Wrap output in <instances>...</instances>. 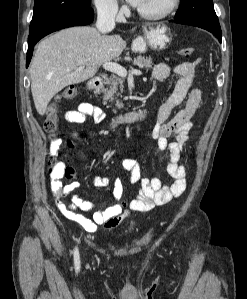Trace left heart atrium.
Instances as JSON below:
<instances>
[{
  "label": "left heart atrium",
  "instance_id": "39dd6f15",
  "mask_svg": "<svg viewBox=\"0 0 247 299\" xmlns=\"http://www.w3.org/2000/svg\"><path fill=\"white\" fill-rule=\"evenodd\" d=\"M131 5L139 7L142 0H127Z\"/></svg>",
  "mask_w": 247,
  "mask_h": 299
}]
</instances>
